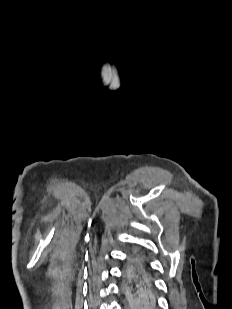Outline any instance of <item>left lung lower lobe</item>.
<instances>
[{
	"label": "left lung lower lobe",
	"mask_w": 232,
	"mask_h": 309,
	"mask_svg": "<svg viewBox=\"0 0 232 309\" xmlns=\"http://www.w3.org/2000/svg\"><path fill=\"white\" fill-rule=\"evenodd\" d=\"M124 291L131 298V309H156L157 294L151 265L139 252H133L124 270Z\"/></svg>",
	"instance_id": "0a47b994"
}]
</instances>
